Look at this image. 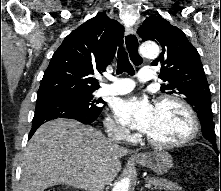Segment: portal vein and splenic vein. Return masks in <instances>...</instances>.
I'll return each instance as SVG.
<instances>
[{"label":"portal vein and splenic vein","mask_w":221,"mask_h":191,"mask_svg":"<svg viewBox=\"0 0 221 191\" xmlns=\"http://www.w3.org/2000/svg\"><path fill=\"white\" fill-rule=\"evenodd\" d=\"M145 187H150V185L149 184H145Z\"/></svg>","instance_id":"18ae733b"}]
</instances>
